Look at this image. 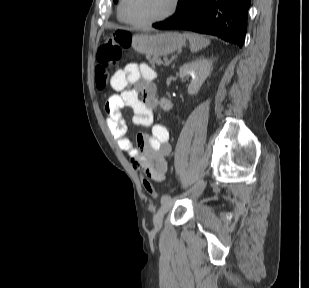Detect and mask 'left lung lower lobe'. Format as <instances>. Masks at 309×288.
Returning a JSON list of instances; mask_svg holds the SVG:
<instances>
[{
	"label": "left lung lower lobe",
	"mask_w": 309,
	"mask_h": 288,
	"mask_svg": "<svg viewBox=\"0 0 309 288\" xmlns=\"http://www.w3.org/2000/svg\"><path fill=\"white\" fill-rule=\"evenodd\" d=\"M251 0H179L170 19L153 24L157 29H186L218 36L242 47Z\"/></svg>",
	"instance_id": "left-lung-lower-lobe-1"
}]
</instances>
